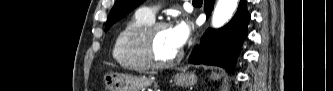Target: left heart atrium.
Listing matches in <instances>:
<instances>
[{
	"label": "left heart atrium",
	"instance_id": "left-heart-atrium-1",
	"mask_svg": "<svg viewBox=\"0 0 333 91\" xmlns=\"http://www.w3.org/2000/svg\"><path fill=\"white\" fill-rule=\"evenodd\" d=\"M170 31L175 46L181 50L190 37V24L184 20H180L170 28Z\"/></svg>",
	"mask_w": 333,
	"mask_h": 91
}]
</instances>
